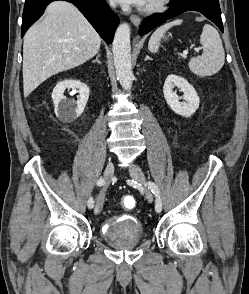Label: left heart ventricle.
Listing matches in <instances>:
<instances>
[{
  "mask_svg": "<svg viewBox=\"0 0 249 294\" xmlns=\"http://www.w3.org/2000/svg\"><path fill=\"white\" fill-rule=\"evenodd\" d=\"M156 0H147V2L145 3V5H149L150 3L154 2Z\"/></svg>",
  "mask_w": 249,
  "mask_h": 294,
  "instance_id": "1",
  "label": "left heart ventricle"
}]
</instances>
